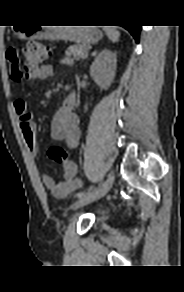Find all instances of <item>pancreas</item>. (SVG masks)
I'll use <instances>...</instances> for the list:
<instances>
[{"label": "pancreas", "mask_w": 184, "mask_h": 292, "mask_svg": "<svg viewBox=\"0 0 184 292\" xmlns=\"http://www.w3.org/2000/svg\"><path fill=\"white\" fill-rule=\"evenodd\" d=\"M88 49L89 46L86 44L71 45L65 53L68 57L73 56L75 59H79L86 56Z\"/></svg>", "instance_id": "1"}]
</instances>
